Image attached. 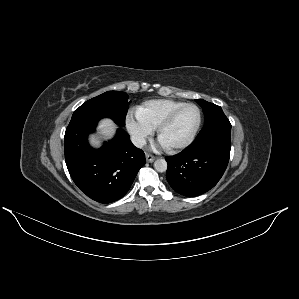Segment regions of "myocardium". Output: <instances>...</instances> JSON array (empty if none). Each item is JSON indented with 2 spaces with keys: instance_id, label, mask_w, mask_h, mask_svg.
Here are the masks:
<instances>
[{
  "instance_id": "myocardium-1",
  "label": "myocardium",
  "mask_w": 299,
  "mask_h": 299,
  "mask_svg": "<svg viewBox=\"0 0 299 299\" xmlns=\"http://www.w3.org/2000/svg\"><path fill=\"white\" fill-rule=\"evenodd\" d=\"M186 107H194L196 108L197 112H198V121H197V124L193 130V132L191 133V135L185 140L183 141L182 143H179V144H176V145H171V146H166L169 150H172V151H177V150H181V149H184L186 147H188L195 139L200 127H201V124H202V111L201 109L199 108V106H197L196 104L194 103H184L182 104L181 106L175 108L174 110H172L161 122L160 124L158 125L157 127V135H158V138L161 140V134L162 132L164 131V129L169 126L172 121L174 120V118L176 117V115L184 108Z\"/></svg>"
}]
</instances>
